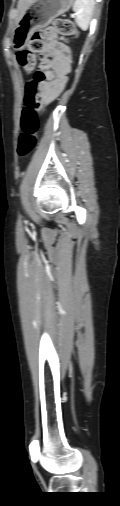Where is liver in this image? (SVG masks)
<instances>
[{"label": "liver", "mask_w": 120, "mask_h": 506, "mask_svg": "<svg viewBox=\"0 0 120 506\" xmlns=\"http://www.w3.org/2000/svg\"><path fill=\"white\" fill-rule=\"evenodd\" d=\"M34 0H19L18 3V10H19V17L18 21L22 18L23 14L25 13L28 6L33 2Z\"/></svg>", "instance_id": "obj_1"}]
</instances>
